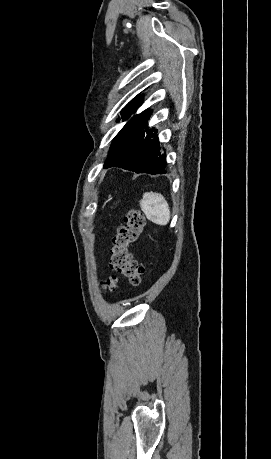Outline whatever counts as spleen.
Returning a JSON list of instances; mask_svg holds the SVG:
<instances>
[{"label":"spleen","instance_id":"spleen-1","mask_svg":"<svg viewBox=\"0 0 271 459\" xmlns=\"http://www.w3.org/2000/svg\"><path fill=\"white\" fill-rule=\"evenodd\" d=\"M140 208L142 212H144L146 218L154 222V224L166 226L170 220L169 206L161 194L146 192V194H143Z\"/></svg>","mask_w":271,"mask_h":459}]
</instances>
